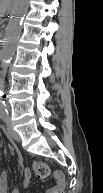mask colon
<instances>
[{"label": "colon", "mask_w": 103, "mask_h": 193, "mask_svg": "<svg viewBox=\"0 0 103 193\" xmlns=\"http://www.w3.org/2000/svg\"><path fill=\"white\" fill-rule=\"evenodd\" d=\"M34 169H35L37 177H39L40 179H46L51 174V169L49 165L45 162H35ZM55 177L59 179L62 178L61 174L59 173H56Z\"/></svg>", "instance_id": "colon-1"}]
</instances>
